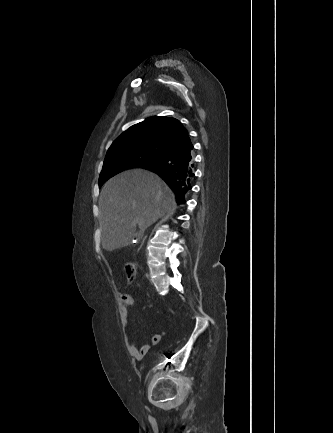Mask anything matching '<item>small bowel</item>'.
<instances>
[{"label":"small bowel","instance_id":"small-bowel-1","mask_svg":"<svg viewBox=\"0 0 333 433\" xmlns=\"http://www.w3.org/2000/svg\"><path fill=\"white\" fill-rule=\"evenodd\" d=\"M134 299L131 294L123 293L120 295V319L121 324L123 326V329L127 331L130 319H129V308L133 304ZM161 341V335L158 333H155L152 335L151 342L153 345L158 344ZM126 343L127 348L130 352V354L136 358L137 360L142 359L150 350L149 344H142L141 346H138L134 341L131 340L129 335L126 333Z\"/></svg>","mask_w":333,"mask_h":433}]
</instances>
